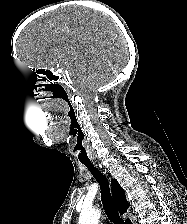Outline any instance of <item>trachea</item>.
<instances>
[{"mask_svg":"<svg viewBox=\"0 0 187 224\" xmlns=\"http://www.w3.org/2000/svg\"><path fill=\"white\" fill-rule=\"evenodd\" d=\"M87 169L91 172L93 177L100 185L101 201L108 219L113 224H124L123 219L120 217L115 203L110 193V187L107 177L100 172L91 162H82Z\"/></svg>","mask_w":187,"mask_h":224,"instance_id":"1","label":"trachea"}]
</instances>
